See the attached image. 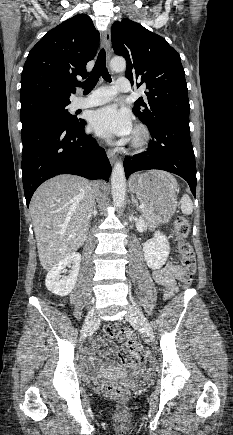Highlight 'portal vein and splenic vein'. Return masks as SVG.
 Instances as JSON below:
<instances>
[{
    "instance_id": "1",
    "label": "portal vein and splenic vein",
    "mask_w": 233,
    "mask_h": 435,
    "mask_svg": "<svg viewBox=\"0 0 233 435\" xmlns=\"http://www.w3.org/2000/svg\"><path fill=\"white\" fill-rule=\"evenodd\" d=\"M145 207V205L144 204H141L140 206H139V209H143ZM70 238H73V236H70Z\"/></svg>"
}]
</instances>
